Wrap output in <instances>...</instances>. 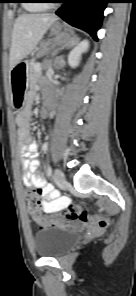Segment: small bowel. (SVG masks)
<instances>
[{
  "mask_svg": "<svg viewBox=\"0 0 136 296\" xmlns=\"http://www.w3.org/2000/svg\"><path fill=\"white\" fill-rule=\"evenodd\" d=\"M47 86V82H43ZM35 99V93L30 91L27 99V107L16 115L18 126V139L22 155L23 183L26 186H34L44 197L41 210L45 213L56 212L69 203L66 197H60L59 192L46 182L40 160L37 156V143L31 137L30 117L31 104Z\"/></svg>",
  "mask_w": 136,
  "mask_h": 296,
  "instance_id": "obj_1",
  "label": "small bowel"
}]
</instances>
